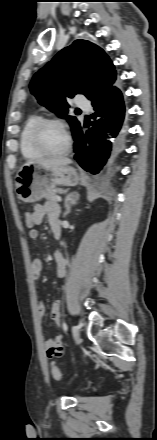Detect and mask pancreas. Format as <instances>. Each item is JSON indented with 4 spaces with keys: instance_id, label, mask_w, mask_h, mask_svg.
Returning a JSON list of instances; mask_svg holds the SVG:
<instances>
[{
    "instance_id": "cf45deb5",
    "label": "pancreas",
    "mask_w": 157,
    "mask_h": 440,
    "mask_svg": "<svg viewBox=\"0 0 157 440\" xmlns=\"http://www.w3.org/2000/svg\"><path fill=\"white\" fill-rule=\"evenodd\" d=\"M61 192L60 189H54L50 194H48L45 198L49 201V202H53L56 203V193Z\"/></svg>"
}]
</instances>
